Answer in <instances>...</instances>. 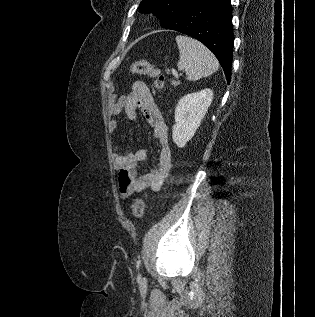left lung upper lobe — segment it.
Wrapping results in <instances>:
<instances>
[{
	"mask_svg": "<svg viewBox=\"0 0 315 317\" xmlns=\"http://www.w3.org/2000/svg\"><path fill=\"white\" fill-rule=\"evenodd\" d=\"M197 0H142L139 11L154 13L163 28L175 25Z\"/></svg>",
	"mask_w": 315,
	"mask_h": 317,
	"instance_id": "left-lung-upper-lobe-1",
	"label": "left lung upper lobe"
}]
</instances>
